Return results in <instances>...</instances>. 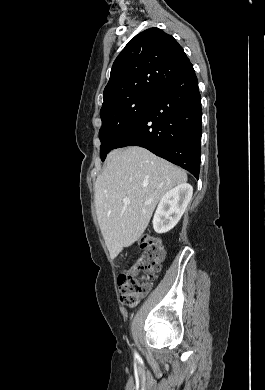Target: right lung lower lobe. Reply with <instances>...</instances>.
I'll return each mask as SVG.
<instances>
[{
    "label": "right lung lower lobe",
    "mask_w": 265,
    "mask_h": 390,
    "mask_svg": "<svg viewBox=\"0 0 265 390\" xmlns=\"http://www.w3.org/2000/svg\"><path fill=\"white\" fill-rule=\"evenodd\" d=\"M202 110L193 66L164 87L115 148L141 146L188 170L200 169Z\"/></svg>",
    "instance_id": "right-lung-lower-lobe-1"
}]
</instances>
